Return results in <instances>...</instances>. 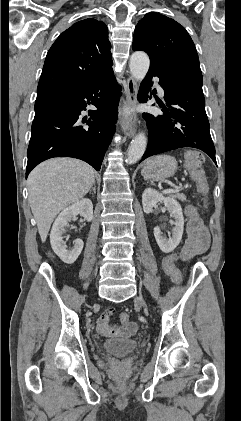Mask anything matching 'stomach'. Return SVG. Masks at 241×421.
I'll list each match as a JSON object with an SVG mask.
<instances>
[{"mask_svg":"<svg viewBox=\"0 0 241 421\" xmlns=\"http://www.w3.org/2000/svg\"><path fill=\"white\" fill-rule=\"evenodd\" d=\"M178 168L176 159L168 155H159L148 159L141 174L147 180L161 181L175 174Z\"/></svg>","mask_w":241,"mask_h":421,"instance_id":"stomach-1","label":"stomach"}]
</instances>
